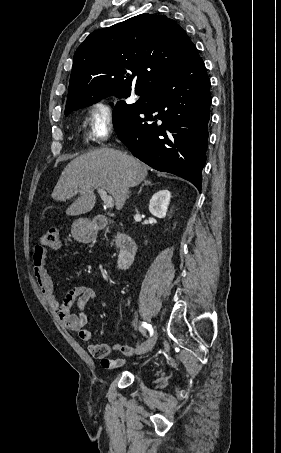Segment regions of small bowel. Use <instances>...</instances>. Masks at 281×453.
<instances>
[{"instance_id":"obj_1","label":"small bowel","mask_w":281,"mask_h":453,"mask_svg":"<svg viewBox=\"0 0 281 453\" xmlns=\"http://www.w3.org/2000/svg\"><path fill=\"white\" fill-rule=\"evenodd\" d=\"M47 253L45 250H38L33 255V274L46 299L49 307L53 309L60 321L71 331L78 333L81 340L90 342L92 333L86 329L88 324V315L86 312L88 304L95 303L97 300V291L87 285H78L67 291L64 304L59 303L57 294L53 288V280L47 271ZM78 302L79 312L72 314L69 306L73 302ZM87 349L93 358L101 361L105 370L113 371L118 367L126 364V358L120 357L112 359L110 353L112 350L120 351L126 355L134 354L137 349L131 346L121 344H94L89 343Z\"/></svg>"}]
</instances>
